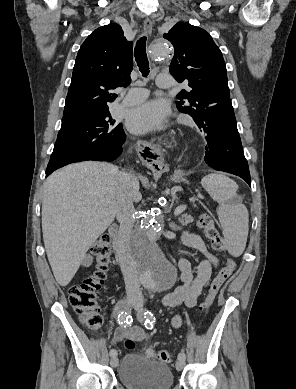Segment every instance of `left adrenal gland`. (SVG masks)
<instances>
[{
	"instance_id": "left-adrenal-gland-1",
	"label": "left adrenal gland",
	"mask_w": 296,
	"mask_h": 389,
	"mask_svg": "<svg viewBox=\"0 0 296 389\" xmlns=\"http://www.w3.org/2000/svg\"><path fill=\"white\" fill-rule=\"evenodd\" d=\"M169 221H171V218L169 219ZM169 227L174 230V231H178V230H181V228L179 226H177L174 222H170L169 223Z\"/></svg>"
}]
</instances>
